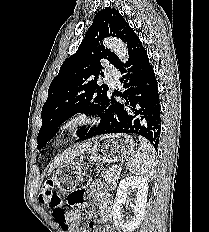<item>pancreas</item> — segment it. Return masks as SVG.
I'll use <instances>...</instances> for the list:
<instances>
[{
	"mask_svg": "<svg viewBox=\"0 0 209 232\" xmlns=\"http://www.w3.org/2000/svg\"><path fill=\"white\" fill-rule=\"evenodd\" d=\"M119 175H120V169H118V167L117 168L111 167L101 174L104 180L109 184L110 190H114L116 188Z\"/></svg>",
	"mask_w": 209,
	"mask_h": 232,
	"instance_id": "cf45deb5",
	"label": "pancreas"
}]
</instances>
